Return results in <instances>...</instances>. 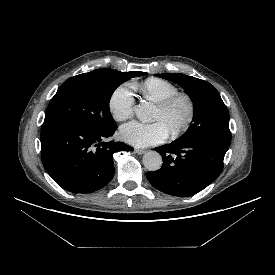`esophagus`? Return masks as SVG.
<instances>
[{"label": "esophagus", "instance_id": "esophagus-1", "mask_svg": "<svg viewBox=\"0 0 275 275\" xmlns=\"http://www.w3.org/2000/svg\"><path fill=\"white\" fill-rule=\"evenodd\" d=\"M135 153L141 155V154H144L146 152V150L144 149H134Z\"/></svg>", "mask_w": 275, "mask_h": 275}]
</instances>
